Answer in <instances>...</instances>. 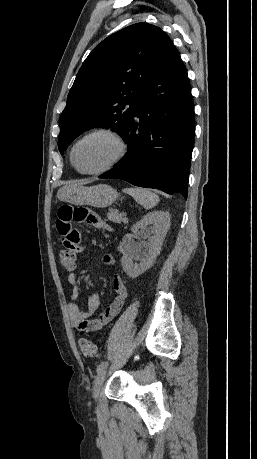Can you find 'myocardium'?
<instances>
[{
	"instance_id": "f54148a6",
	"label": "myocardium",
	"mask_w": 257,
	"mask_h": 459,
	"mask_svg": "<svg viewBox=\"0 0 257 459\" xmlns=\"http://www.w3.org/2000/svg\"><path fill=\"white\" fill-rule=\"evenodd\" d=\"M97 135H105L113 139L118 146V151L116 155L113 157V159L109 161L107 164H105L104 166L98 169H95V170H91V171H83L77 166L75 162V150L81 142H83L84 140L90 137L97 136ZM126 153H127L126 142L123 139V137L115 129L110 128V127H99V128H95L85 133L84 135H82L80 138H78L74 142V144L72 145L71 151H70V161L73 167L79 173L84 174V175H97V174L105 173L111 170L112 168H114L116 165H118L122 161V159L125 157Z\"/></svg>"
}]
</instances>
